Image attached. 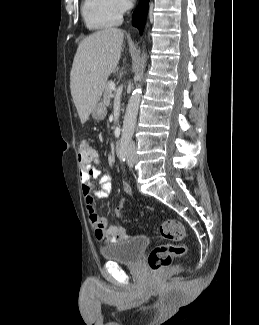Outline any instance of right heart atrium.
I'll use <instances>...</instances> for the list:
<instances>
[{
	"instance_id": "obj_1",
	"label": "right heart atrium",
	"mask_w": 259,
	"mask_h": 325,
	"mask_svg": "<svg viewBox=\"0 0 259 325\" xmlns=\"http://www.w3.org/2000/svg\"><path fill=\"white\" fill-rule=\"evenodd\" d=\"M112 6L120 15L123 14L128 8L127 0H111Z\"/></svg>"
}]
</instances>
